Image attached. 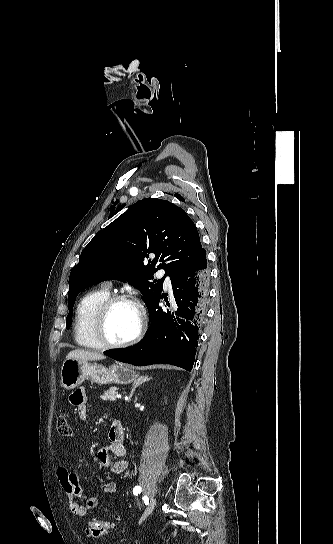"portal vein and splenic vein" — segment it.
Here are the masks:
<instances>
[{
	"label": "portal vein and splenic vein",
	"mask_w": 333,
	"mask_h": 544,
	"mask_svg": "<svg viewBox=\"0 0 333 544\" xmlns=\"http://www.w3.org/2000/svg\"><path fill=\"white\" fill-rule=\"evenodd\" d=\"M116 398L121 399L122 395L121 394H116Z\"/></svg>",
	"instance_id": "1"
}]
</instances>
